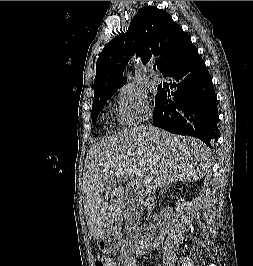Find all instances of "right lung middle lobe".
I'll use <instances>...</instances> for the list:
<instances>
[{"label": "right lung middle lobe", "mask_w": 253, "mask_h": 266, "mask_svg": "<svg viewBox=\"0 0 253 266\" xmlns=\"http://www.w3.org/2000/svg\"><path fill=\"white\" fill-rule=\"evenodd\" d=\"M113 94H114V92L105 94V95H103V96H101L98 99L93 101L92 111H91V118H92V121H93L94 124L96 123V119L98 117V114L102 110L104 104L110 98V96H112Z\"/></svg>", "instance_id": "1"}]
</instances>
